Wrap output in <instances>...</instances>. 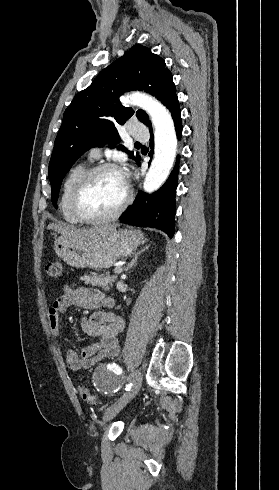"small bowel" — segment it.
I'll return each mask as SVG.
<instances>
[{
    "label": "small bowel",
    "instance_id": "obj_1",
    "mask_svg": "<svg viewBox=\"0 0 279 490\" xmlns=\"http://www.w3.org/2000/svg\"><path fill=\"white\" fill-rule=\"evenodd\" d=\"M71 305L92 312L90 316L81 318L80 325L86 334L96 337L98 342L85 347L81 356L68 349L65 359L69 368L73 371L88 369L104 359L117 357L120 353L118 336L124 329V321L112 312L115 299L87 286L66 287L48 309V325L54 335L60 334V314Z\"/></svg>",
    "mask_w": 279,
    "mask_h": 490
}]
</instances>
